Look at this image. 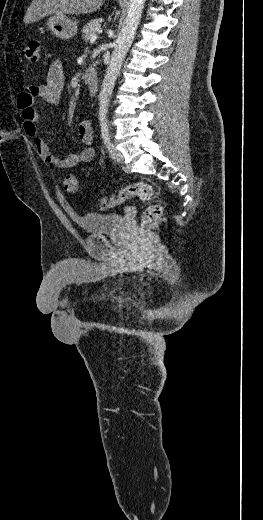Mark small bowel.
<instances>
[{
    "mask_svg": "<svg viewBox=\"0 0 263 520\" xmlns=\"http://www.w3.org/2000/svg\"><path fill=\"white\" fill-rule=\"evenodd\" d=\"M64 70L62 63L54 61L41 84L31 85L18 96V107L23 118L25 133L34 138V146L39 157L46 163L58 168H71L80 163L93 160L95 151L89 147L93 142V126L90 120H83L78 126V137L86 147L78 152L64 157L55 156L47 143L38 136L39 113L35 108V99L42 98L52 103L59 102L64 88Z\"/></svg>",
    "mask_w": 263,
    "mask_h": 520,
    "instance_id": "small-bowel-1",
    "label": "small bowel"
}]
</instances>
